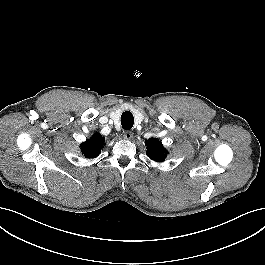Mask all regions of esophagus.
I'll list each match as a JSON object with an SVG mask.
<instances>
[{
    "instance_id": "esophagus-1",
    "label": "esophagus",
    "mask_w": 265,
    "mask_h": 265,
    "mask_svg": "<svg viewBox=\"0 0 265 265\" xmlns=\"http://www.w3.org/2000/svg\"><path fill=\"white\" fill-rule=\"evenodd\" d=\"M123 138L126 140H131L133 138V133L131 131H126L123 133Z\"/></svg>"
}]
</instances>
